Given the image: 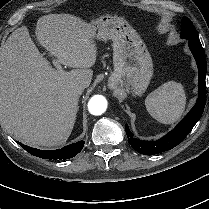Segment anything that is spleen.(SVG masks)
<instances>
[{
	"label": "spleen",
	"instance_id": "spleen-1",
	"mask_svg": "<svg viewBox=\"0 0 209 209\" xmlns=\"http://www.w3.org/2000/svg\"><path fill=\"white\" fill-rule=\"evenodd\" d=\"M150 115L163 124L178 121L186 106V95L181 83L169 81L152 91L145 99Z\"/></svg>",
	"mask_w": 209,
	"mask_h": 209
}]
</instances>
